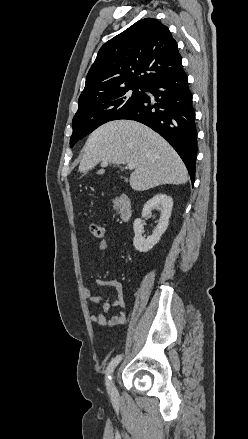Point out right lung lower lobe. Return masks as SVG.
<instances>
[{
    "label": "right lung lower lobe",
    "mask_w": 248,
    "mask_h": 439,
    "mask_svg": "<svg viewBox=\"0 0 248 439\" xmlns=\"http://www.w3.org/2000/svg\"><path fill=\"white\" fill-rule=\"evenodd\" d=\"M145 90L154 98L144 93L119 119L141 122L165 138L180 155L194 184L197 131L192 94L183 67L153 81Z\"/></svg>",
    "instance_id": "1"
}]
</instances>
